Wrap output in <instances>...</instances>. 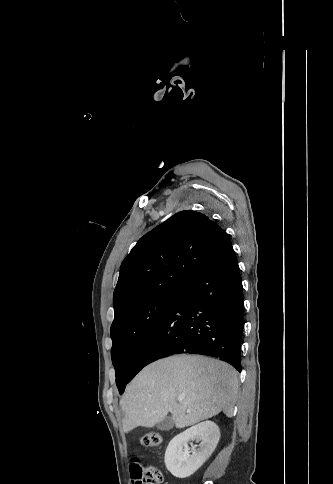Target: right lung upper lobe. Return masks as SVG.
<instances>
[{
	"label": "right lung upper lobe",
	"mask_w": 333,
	"mask_h": 484,
	"mask_svg": "<svg viewBox=\"0 0 333 484\" xmlns=\"http://www.w3.org/2000/svg\"><path fill=\"white\" fill-rule=\"evenodd\" d=\"M232 247L206 215L181 211L145 234L124 259L113 295L114 321L138 304L179 290Z\"/></svg>",
	"instance_id": "obj_1"
}]
</instances>
